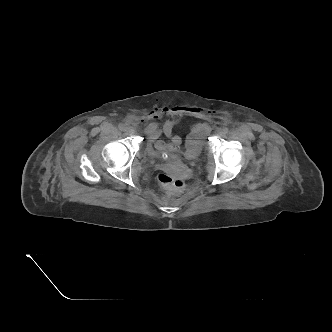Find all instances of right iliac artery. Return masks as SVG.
Instances as JSON below:
<instances>
[{
  "label": "right iliac artery",
  "instance_id": "obj_1",
  "mask_svg": "<svg viewBox=\"0 0 332 332\" xmlns=\"http://www.w3.org/2000/svg\"><path fill=\"white\" fill-rule=\"evenodd\" d=\"M118 128H119L120 130H125V129H126L125 125L122 124V123L118 125Z\"/></svg>",
  "mask_w": 332,
  "mask_h": 332
}]
</instances>
